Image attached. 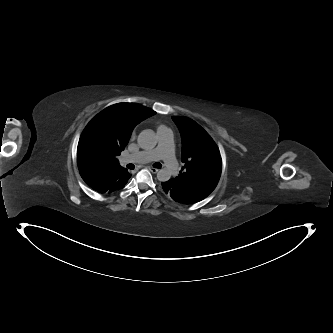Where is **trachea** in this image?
<instances>
[{"label": "trachea", "mask_w": 333, "mask_h": 333, "mask_svg": "<svg viewBox=\"0 0 333 333\" xmlns=\"http://www.w3.org/2000/svg\"><path fill=\"white\" fill-rule=\"evenodd\" d=\"M153 167H155V168H161L162 165L160 163H155V164H153Z\"/></svg>", "instance_id": "1"}]
</instances>
